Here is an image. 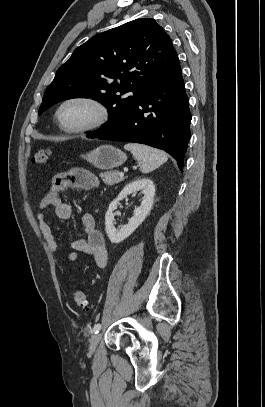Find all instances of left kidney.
Here are the masks:
<instances>
[{
    "label": "left kidney",
    "mask_w": 265,
    "mask_h": 407,
    "mask_svg": "<svg viewBox=\"0 0 265 407\" xmlns=\"http://www.w3.org/2000/svg\"><path fill=\"white\" fill-rule=\"evenodd\" d=\"M137 191H141L144 194L141 205L135 208L134 216L129 220L128 224L122 226L119 230L116 229L113 212L117 209L119 201ZM154 195V183L148 178L137 179L123 188L118 196L109 204L105 214V231L112 243L122 242L139 227L152 208Z\"/></svg>",
    "instance_id": "obj_1"
}]
</instances>
